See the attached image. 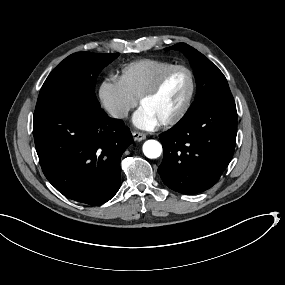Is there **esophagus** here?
Segmentation results:
<instances>
[{"label":"esophagus","instance_id":"1","mask_svg":"<svg viewBox=\"0 0 285 285\" xmlns=\"http://www.w3.org/2000/svg\"><path fill=\"white\" fill-rule=\"evenodd\" d=\"M132 135H133L134 140L136 141H142L146 138L145 134L140 133L138 131H134Z\"/></svg>","mask_w":285,"mask_h":285}]
</instances>
